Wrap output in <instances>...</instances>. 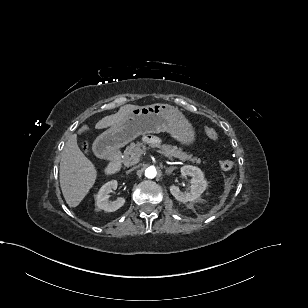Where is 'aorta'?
I'll use <instances>...</instances> for the list:
<instances>
[{
    "mask_svg": "<svg viewBox=\"0 0 308 308\" xmlns=\"http://www.w3.org/2000/svg\"><path fill=\"white\" fill-rule=\"evenodd\" d=\"M156 175H157V171H156V168L154 166H150V167L146 168L145 176L147 178L152 179V178H155Z\"/></svg>",
    "mask_w": 308,
    "mask_h": 308,
    "instance_id": "aorta-1",
    "label": "aorta"
}]
</instances>
